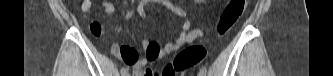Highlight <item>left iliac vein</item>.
<instances>
[{"instance_id":"4c4485c4","label":"left iliac vein","mask_w":333,"mask_h":76,"mask_svg":"<svg viewBox=\"0 0 333 76\" xmlns=\"http://www.w3.org/2000/svg\"><path fill=\"white\" fill-rule=\"evenodd\" d=\"M199 76H205V74H204V73H202V72H200V73H199Z\"/></svg>"}]
</instances>
